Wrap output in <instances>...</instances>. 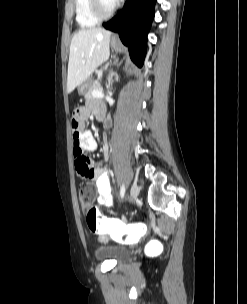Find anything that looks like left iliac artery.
I'll use <instances>...</instances> for the list:
<instances>
[{"instance_id": "1", "label": "left iliac artery", "mask_w": 247, "mask_h": 304, "mask_svg": "<svg viewBox=\"0 0 247 304\" xmlns=\"http://www.w3.org/2000/svg\"><path fill=\"white\" fill-rule=\"evenodd\" d=\"M125 195V185L123 184L120 189V198L122 199Z\"/></svg>"}]
</instances>
